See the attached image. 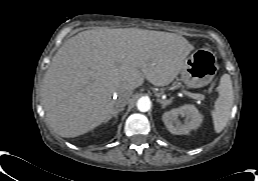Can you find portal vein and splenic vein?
Here are the masks:
<instances>
[{
	"label": "portal vein and splenic vein",
	"instance_id": "1",
	"mask_svg": "<svg viewBox=\"0 0 258 181\" xmlns=\"http://www.w3.org/2000/svg\"><path fill=\"white\" fill-rule=\"evenodd\" d=\"M183 94H185L186 96L193 98V99H198V97H199V94H194V93H191L188 91H183Z\"/></svg>",
	"mask_w": 258,
	"mask_h": 181
}]
</instances>
